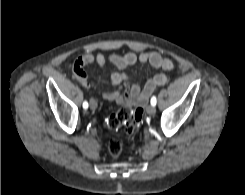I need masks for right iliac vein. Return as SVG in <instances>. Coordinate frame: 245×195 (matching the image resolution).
Returning <instances> with one entry per match:
<instances>
[{
  "mask_svg": "<svg viewBox=\"0 0 245 195\" xmlns=\"http://www.w3.org/2000/svg\"><path fill=\"white\" fill-rule=\"evenodd\" d=\"M90 108L92 110H95L97 108V102L94 99H91L90 101Z\"/></svg>",
  "mask_w": 245,
  "mask_h": 195,
  "instance_id": "63e3f726",
  "label": "right iliac vein"
}]
</instances>
